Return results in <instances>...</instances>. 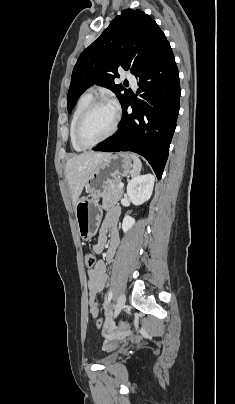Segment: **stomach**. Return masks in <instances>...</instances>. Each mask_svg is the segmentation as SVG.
Here are the masks:
<instances>
[{
	"mask_svg": "<svg viewBox=\"0 0 235 404\" xmlns=\"http://www.w3.org/2000/svg\"><path fill=\"white\" fill-rule=\"evenodd\" d=\"M130 154L119 152L110 154L94 170L85 183L87 196L78 200L74 207L78 233L83 240H89L98 231L102 208L99 198L103 195L105 186L122 176H127L133 169Z\"/></svg>",
	"mask_w": 235,
	"mask_h": 404,
	"instance_id": "1",
	"label": "stomach"
}]
</instances>
